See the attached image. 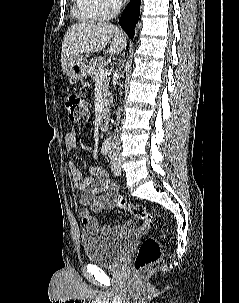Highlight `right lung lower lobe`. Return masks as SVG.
<instances>
[{"instance_id": "1", "label": "right lung lower lobe", "mask_w": 239, "mask_h": 303, "mask_svg": "<svg viewBox=\"0 0 239 303\" xmlns=\"http://www.w3.org/2000/svg\"><path fill=\"white\" fill-rule=\"evenodd\" d=\"M140 2L141 0H131L120 18L122 29L131 39L134 37V28L139 19Z\"/></svg>"}]
</instances>
